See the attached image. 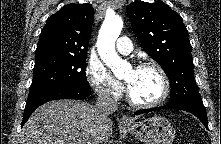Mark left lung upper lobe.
Instances as JSON below:
<instances>
[{"label": "left lung upper lobe", "mask_w": 221, "mask_h": 144, "mask_svg": "<svg viewBox=\"0 0 221 144\" xmlns=\"http://www.w3.org/2000/svg\"><path fill=\"white\" fill-rule=\"evenodd\" d=\"M142 48L163 68L170 86V102L203 105L193 74L188 31L179 14L162 1H135L127 6Z\"/></svg>", "instance_id": "obj_1"}]
</instances>
